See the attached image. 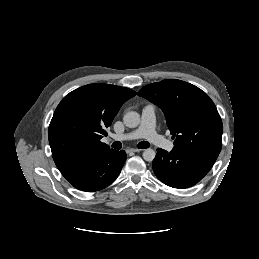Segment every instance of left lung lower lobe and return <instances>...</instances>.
Masks as SVG:
<instances>
[{"instance_id": "1", "label": "left lung lower lobe", "mask_w": 259, "mask_h": 259, "mask_svg": "<svg viewBox=\"0 0 259 259\" xmlns=\"http://www.w3.org/2000/svg\"><path fill=\"white\" fill-rule=\"evenodd\" d=\"M219 153L207 150L167 152L157 149L153 170L160 181L174 188H188L198 183L212 168Z\"/></svg>"}]
</instances>
